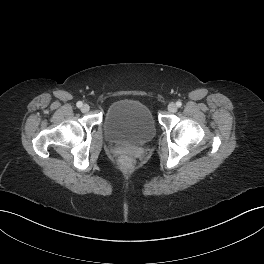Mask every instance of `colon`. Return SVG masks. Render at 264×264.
Returning <instances> with one entry per match:
<instances>
[{
	"instance_id": "colon-1",
	"label": "colon",
	"mask_w": 264,
	"mask_h": 264,
	"mask_svg": "<svg viewBox=\"0 0 264 264\" xmlns=\"http://www.w3.org/2000/svg\"><path fill=\"white\" fill-rule=\"evenodd\" d=\"M120 165L123 169L129 170L132 168V163L128 158H124L121 160Z\"/></svg>"
}]
</instances>
